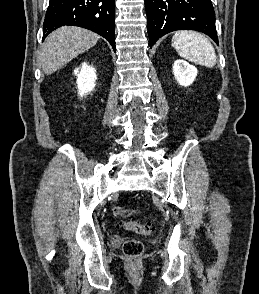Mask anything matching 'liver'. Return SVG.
<instances>
[{"mask_svg": "<svg viewBox=\"0 0 259 294\" xmlns=\"http://www.w3.org/2000/svg\"><path fill=\"white\" fill-rule=\"evenodd\" d=\"M99 36L87 29L65 26L53 31L45 40L41 67L51 75L78 55L95 46Z\"/></svg>", "mask_w": 259, "mask_h": 294, "instance_id": "1", "label": "liver"}]
</instances>
